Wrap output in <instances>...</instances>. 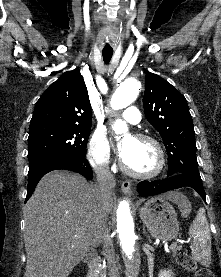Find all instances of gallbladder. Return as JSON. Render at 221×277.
I'll return each mask as SVG.
<instances>
[{
	"label": "gallbladder",
	"instance_id": "1",
	"mask_svg": "<svg viewBox=\"0 0 221 277\" xmlns=\"http://www.w3.org/2000/svg\"><path fill=\"white\" fill-rule=\"evenodd\" d=\"M88 260H89V257H86V258H85V261H88Z\"/></svg>",
	"mask_w": 221,
	"mask_h": 277
}]
</instances>
